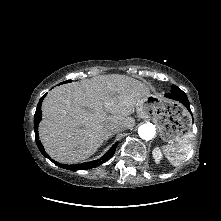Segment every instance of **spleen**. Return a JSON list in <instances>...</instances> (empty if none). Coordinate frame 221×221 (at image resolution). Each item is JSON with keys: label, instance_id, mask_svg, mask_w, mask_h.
<instances>
[{"label": "spleen", "instance_id": "1", "mask_svg": "<svg viewBox=\"0 0 221 221\" xmlns=\"http://www.w3.org/2000/svg\"><path fill=\"white\" fill-rule=\"evenodd\" d=\"M192 138L193 134L188 132L181 140L177 141L173 145H166L162 147L165 157L172 165L178 166L187 158L192 148Z\"/></svg>", "mask_w": 221, "mask_h": 221}]
</instances>
